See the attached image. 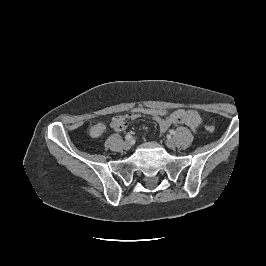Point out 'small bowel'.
<instances>
[{
	"label": "small bowel",
	"mask_w": 266,
	"mask_h": 266,
	"mask_svg": "<svg viewBox=\"0 0 266 266\" xmlns=\"http://www.w3.org/2000/svg\"><path fill=\"white\" fill-rule=\"evenodd\" d=\"M136 118L126 115H117L111 120V127L115 131H123L127 127V122L134 120ZM154 120L159 125L160 131L164 133L168 130L171 125L175 124H184L195 130L200 122L201 118L195 110L191 109H178L172 112L169 116L166 117H156ZM106 130L104 123L99 122L91 126L89 132L90 135L94 138L100 137Z\"/></svg>",
	"instance_id": "1"
}]
</instances>
